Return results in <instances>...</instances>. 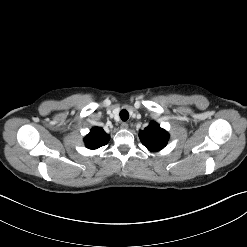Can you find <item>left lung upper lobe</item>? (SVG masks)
Here are the masks:
<instances>
[{"instance_id": "5c2ea615", "label": "left lung upper lobe", "mask_w": 247, "mask_h": 247, "mask_svg": "<svg viewBox=\"0 0 247 247\" xmlns=\"http://www.w3.org/2000/svg\"><path fill=\"white\" fill-rule=\"evenodd\" d=\"M142 144L151 152L163 149L168 140L169 134L155 122L139 133Z\"/></svg>"}]
</instances>
